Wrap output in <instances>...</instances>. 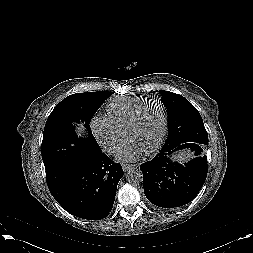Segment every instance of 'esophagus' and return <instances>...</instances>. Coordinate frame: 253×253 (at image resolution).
Here are the masks:
<instances>
[{"mask_svg":"<svg viewBox=\"0 0 253 253\" xmlns=\"http://www.w3.org/2000/svg\"><path fill=\"white\" fill-rule=\"evenodd\" d=\"M135 165L134 164H122V169L126 172L132 169Z\"/></svg>","mask_w":253,"mask_h":253,"instance_id":"esophagus-1","label":"esophagus"}]
</instances>
